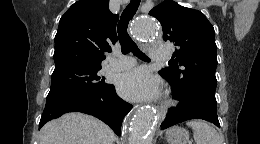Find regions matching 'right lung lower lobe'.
<instances>
[{"label":"right lung lower lobe","instance_id":"obj_1","mask_svg":"<svg viewBox=\"0 0 260 144\" xmlns=\"http://www.w3.org/2000/svg\"><path fill=\"white\" fill-rule=\"evenodd\" d=\"M132 105L122 100L115 92V87L94 94L67 93L49 96L41 116L39 129L48 121L68 112H83L92 115L121 134V125Z\"/></svg>","mask_w":260,"mask_h":144}]
</instances>
